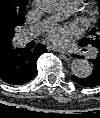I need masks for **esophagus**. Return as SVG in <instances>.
I'll use <instances>...</instances> for the list:
<instances>
[{"label":"esophagus","instance_id":"34e87169","mask_svg":"<svg viewBox=\"0 0 100 118\" xmlns=\"http://www.w3.org/2000/svg\"><path fill=\"white\" fill-rule=\"evenodd\" d=\"M48 48L50 50H53V51H56V52L65 53V51L63 49L55 47V46H49Z\"/></svg>","mask_w":100,"mask_h":118}]
</instances>
